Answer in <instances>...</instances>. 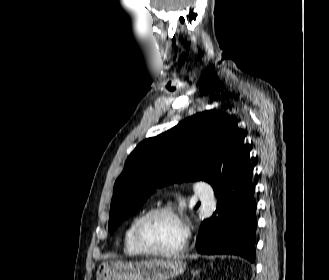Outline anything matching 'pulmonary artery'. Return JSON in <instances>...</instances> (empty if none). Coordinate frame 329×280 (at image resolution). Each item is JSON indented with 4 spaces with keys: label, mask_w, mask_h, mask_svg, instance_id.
<instances>
[{
    "label": "pulmonary artery",
    "mask_w": 329,
    "mask_h": 280,
    "mask_svg": "<svg viewBox=\"0 0 329 280\" xmlns=\"http://www.w3.org/2000/svg\"><path fill=\"white\" fill-rule=\"evenodd\" d=\"M197 193L202 201L207 202L211 199L212 187L209 183L200 182L197 184Z\"/></svg>",
    "instance_id": "pulmonary-artery-1"
}]
</instances>
